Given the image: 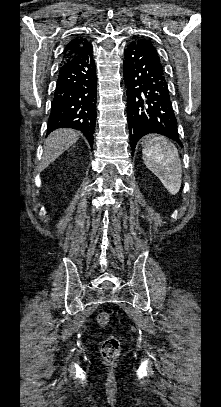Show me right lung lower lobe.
<instances>
[{"instance_id": "98d812e1", "label": "right lung lower lobe", "mask_w": 221, "mask_h": 407, "mask_svg": "<svg viewBox=\"0 0 221 407\" xmlns=\"http://www.w3.org/2000/svg\"><path fill=\"white\" fill-rule=\"evenodd\" d=\"M88 42L78 55L60 64L47 134L57 128L81 131L93 145L96 123L97 77Z\"/></svg>"}]
</instances>
